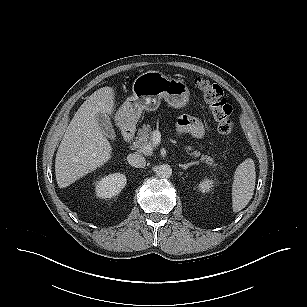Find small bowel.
<instances>
[{
    "instance_id": "1",
    "label": "small bowel",
    "mask_w": 307,
    "mask_h": 307,
    "mask_svg": "<svg viewBox=\"0 0 307 307\" xmlns=\"http://www.w3.org/2000/svg\"><path fill=\"white\" fill-rule=\"evenodd\" d=\"M177 130L180 134H191L197 138L202 137L204 133L200 122L185 116L178 120Z\"/></svg>"
}]
</instances>
